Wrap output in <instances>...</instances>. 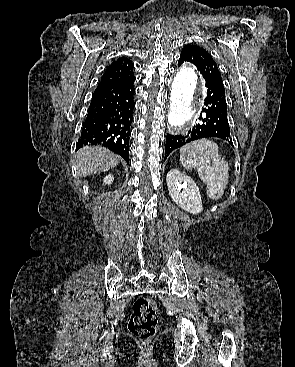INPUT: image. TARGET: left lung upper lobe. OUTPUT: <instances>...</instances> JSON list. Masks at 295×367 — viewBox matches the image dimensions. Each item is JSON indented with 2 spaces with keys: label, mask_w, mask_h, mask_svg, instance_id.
<instances>
[{
  "label": "left lung upper lobe",
  "mask_w": 295,
  "mask_h": 367,
  "mask_svg": "<svg viewBox=\"0 0 295 367\" xmlns=\"http://www.w3.org/2000/svg\"><path fill=\"white\" fill-rule=\"evenodd\" d=\"M179 60L193 63L203 77L214 76L221 79L220 70L210 53L197 45L185 46Z\"/></svg>",
  "instance_id": "5c2ea615"
}]
</instances>
